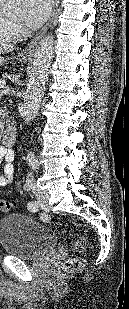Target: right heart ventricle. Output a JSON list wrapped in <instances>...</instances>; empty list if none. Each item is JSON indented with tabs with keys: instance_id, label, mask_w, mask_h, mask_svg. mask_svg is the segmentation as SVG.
Masks as SVG:
<instances>
[{
	"instance_id": "e07e8e85",
	"label": "right heart ventricle",
	"mask_w": 129,
	"mask_h": 309,
	"mask_svg": "<svg viewBox=\"0 0 129 309\" xmlns=\"http://www.w3.org/2000/svg\"><path fill=\"white\" fill-rule=\"evenodd\" d=\"M16 39L14 24L0 8V45L12 43Z\"/></svg>"
}]
</instances>
